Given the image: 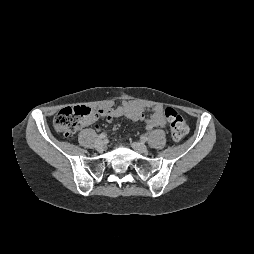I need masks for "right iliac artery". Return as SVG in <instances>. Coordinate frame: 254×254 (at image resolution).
<instances>
[{
    "label": "right iliac artery",
    "mask_w": 254,
    "mask_h": 254,
    "mask_svg": "<svg viewBox=\"0 0 254 254\" xmlns=\"http://www.w3.org/2000/svg\"><path fill=\"white\" fill-rule=\"evenodd\" d=\"M98 137H99V139H104L106 137V134L105 133H101Z\"/></svg>",
    "instance_id": "1"
}]
</instances>
